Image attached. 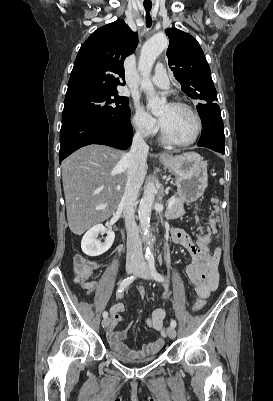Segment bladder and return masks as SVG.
I'll use <instances>...</instances> for the list:
<instances>
[{
    "label": "bladder",
    "mask_w": 273,
    "mask_h": 401,
    "mask_svg": "<svg viewBox=\"0 0 273 401\" xmlns=\"http://www.w3.org/2000/svg\"><path fill=\"white\" fill-rule=\"evenodd\" d=\"M111 355L117 361H119V362H121L123 364H130V365L151 363L152 361H154L157 358V355H153V356H149V357H147L145 359H142V360L134 361V360H130V359H127V358L121 356L120 354H118L115 351H112Z\"/></svg>",
    "instance_id": "bladder-1"
}]
</instances>
